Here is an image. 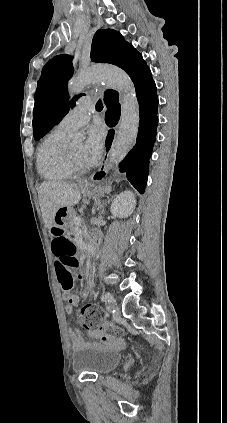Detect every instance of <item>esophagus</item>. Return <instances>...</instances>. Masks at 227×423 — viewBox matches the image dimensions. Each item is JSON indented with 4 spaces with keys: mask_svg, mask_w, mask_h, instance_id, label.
Listing matches in <instances>:
<instances>
[{
    "mask_svg": "<svg viewBox=\"0 0 227 423\" xmlns=\"http://www.w3.org/2000/svg\"><path fill=\"white\" fill-rule=\"evenodd\" d=\"M107 136L104 142V156L102 158L101 165L97 172H95L89 179L92 182H101L108 175L109 166H110V155L113 148V142L116 135L115 125H110V129L107 131Z\"/></svg>",
    "mask_w": 227,
    "mask_h": 423,
    "instance_id": "obj_1",
    "label": "esophagus"
}]
</instances>
